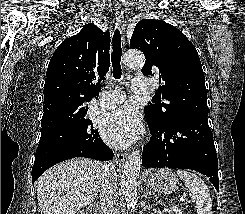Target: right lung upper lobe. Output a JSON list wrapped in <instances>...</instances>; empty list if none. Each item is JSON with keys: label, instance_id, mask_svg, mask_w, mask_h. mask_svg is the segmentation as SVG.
I'll use <instances>...</instances> for the list:
<instances>
[{"label": "right lung upper lobe", "instance_id": "cb5924a9", "mask_svg": "<svg viewBox=\"0 0 245 214\" xmlns=\"http://www.w3.org/2000/svg\"><path fill=\"white\" fill-rule=\"evenodd\" d=\"M109 49V32L90 23L58 46L45 78L42 130L87 113L85 103L99 96L109 70Z\"/></svg>", "mask_w": 245, "mask_h": 214}]
</instances>
